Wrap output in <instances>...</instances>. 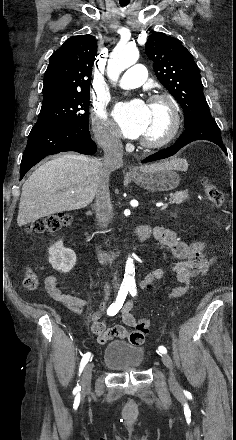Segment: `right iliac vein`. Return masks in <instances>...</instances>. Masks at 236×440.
<instances>
[{"label":"right iliac vein","instance_id":"63e3f726","mask_svg":"<svg viewBox=\"0 0 236 440\" xmlns=\"http://www.w3.org/2000/svg\"><path fill=\"white\" fill-rule=\"evenodd\" d=\"M93 363H88L84 368L82 375V389L86 391L91 385V375H92Z\"/></svg>","mask_w":236,"mask_h":440}]
</instances>
